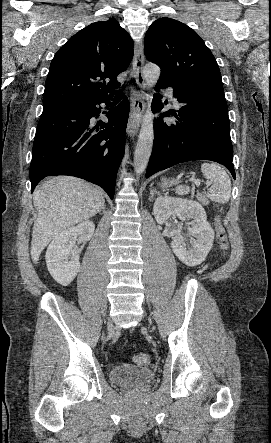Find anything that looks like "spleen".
I'll return each instance as SVG.
<instances>
[{"label":"spleen","mask_w":271,"mask_h":443,"mask_svg":"<svg viewBox=\"0 0 271 443\" xmlns=\"http://www.w3.org/2000/svg\"><path fill=\"white\" fill-rule=\"evenodd\" d=\"M201 172L204 178L212 184L207 192L208 198H210L212 202H219V204L229 202L231 182L225 170H223L221 166H217V164H202ZM189 192V186H178V188H176V194H178V196H186Z\"/></svg>","instance_id":"obj_1"}]
</instances>
